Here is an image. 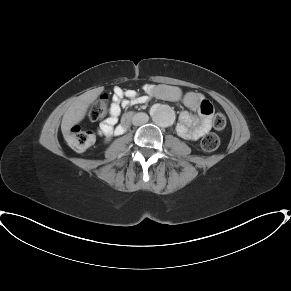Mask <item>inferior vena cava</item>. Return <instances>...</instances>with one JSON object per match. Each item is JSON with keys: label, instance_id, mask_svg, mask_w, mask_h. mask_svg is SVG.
Masks as SVG:
<instances>
[{"label": "inferior vena cava", "instance_id": "inferior-vena-cava-1", "mask_svg": "<svg viewBox=\"0 0 291 291\" xmlns=\"http://www.w3.org/2000/svg\"><path fill=\"white\" fill-rule=\"evenodd\" d=\"M149 120V116L146 113H137L132 118V123L135 126H140L147 123Z\"/></svg>", "mask_w": 291, "mask_h": 291}]
</instances>
